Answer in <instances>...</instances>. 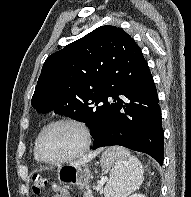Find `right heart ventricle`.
I'll list each match as a JSON object with an SVG mask.
<instances>
[{"mask_svg":"<svg viewBox=\"0 0 191 197\" xmlns=\"http://www.w3.org/2000/svg\"><path fill=\"white\" fill-rule=\"evenodd\" d=\"M34 158H35V160H36L37 162H39V160L36 158V156H34Z\"/></svg>","mask_w":191,"mask_h":197,"instance_id":"obj_1","label":"right heart ventricle"}]
</instances>
